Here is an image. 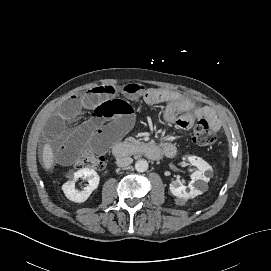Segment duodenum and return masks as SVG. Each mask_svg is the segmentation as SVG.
I'll use <instances>...</instances> for the list:
<instances>
[{"label":"duodenum","instance_id":"1","mask_svg":"<svg viewBox=\"0 0 271 271\" xmlns=\"http://www.w3.org/2000/svg\"><path fill=\"white\" fill-rule=\"evenodd\" d=\"M112 153L115 157H124L132 154H142L146 157L157 160L164 154L162 148L154 144H142L140 146H131L127 143H119L113 147Z\"/></svg>","mask_w":271,"mask_h":271}]
</instances>
